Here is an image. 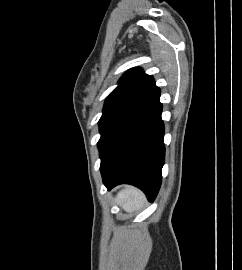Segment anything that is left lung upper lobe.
<instances>
[{"instance_id": "obj_1", "label": "left lung upper lobe", "mask_w": 242, "mask_h": 270, "mask_svg": "<svg viewBox=\"0 0 242 270\" xmlns=\"http://www.w3.org/2000/svg\"><path fill=\"white\" fill-rule=\"evenodd\" d=\"M158 87L152 76L145 74L140 68L128 70L120 79L118 86L107 96L103 114L99 120L101 137L98 147L111 128L126 114L137 107Z\"/></svg>"}]
</instances>
